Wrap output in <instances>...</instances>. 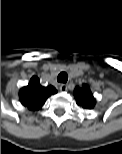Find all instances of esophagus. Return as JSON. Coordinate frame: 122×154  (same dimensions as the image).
<instances>
[{"label":"esophagus","mask_w":122,"mask_h":154,"mask_svg":"<svg viewBox=\"0 0 122 154\" xmlns=\"http://www.w3.org/2000/svg\"><path fill=\"white\" fill-rule=\"evenodd\" d=\"M68 90V86L66 84H61L60 91L66 92Z\"/></svg>","instance_id":"obj_1"}]
</instances>
